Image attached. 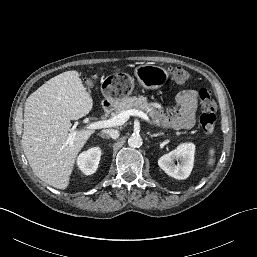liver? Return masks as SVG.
<instances>
[{
	"instance_id": "6515ba94",
	"label": "liver",
	"mask_w": 257,
	"mask_h": 257,
	"mask_svg": "<svg viewBox=\"0 0 257 257\" xmlns=\"http://www.w3.org/2000/svg\"><path fill=\"white\" fill-rule=\"evenodd\" d=\"M75 70L63 72L26 100L22 148L35 175L57 189H66L75 160L92 130H78L68 138L71 120L86 116L93 107L90 93Z\"/></svg>"
}]
</instances>
